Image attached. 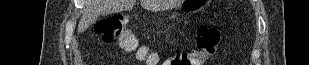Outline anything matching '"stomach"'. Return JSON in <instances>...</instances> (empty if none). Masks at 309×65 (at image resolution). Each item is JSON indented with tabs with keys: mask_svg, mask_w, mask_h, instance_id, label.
I'll use <instances>...</instances> for the list:
<instances>
[{
	"mask_svg": "<svg viewBox=\"0 0 309 65\" xmlns=\"http://www.w3.org/2000/svg\"><path fill=\"white\" fill-rule=\"evenodd\" d=\"M205 3L206 1L186 0L181 7V11L188 13L196 12L200 10L202 8L201 6ZM199 4H201V6H198Z\"/></svg>",
	"mask_w": 309,
	"mask_h": 65,
	"instance_id": "1",
	"label": "stomach"
}]
</instances>
